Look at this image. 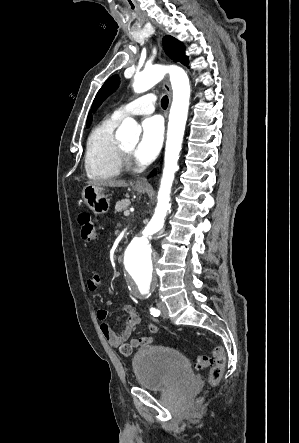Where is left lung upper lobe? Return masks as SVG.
Returning <instances> with one entry per match:
<instances>
[{"label": "left lung upper lobe", "instance_id": "obj_1", "mask_svg": "<svg viewBox=\"0 0 299 443\" xmlns=\"http://www.w3.org/2000/svg\"><path fill=\"white\" fill-rule=\"evenodd\" d=\"M163 46L165 52L168 56L175 62H181L183 65H188V58L184 55L185 47L179 42L177 39L172 36H165L163 38ZM119 85V77L118 75H114L110 77L98 91L94 102H93V111L97 109V107L111 94L113 93Z\"/></svg>", "mask_w": 299, "mask_h": 443}]
</instances>
